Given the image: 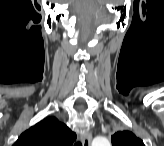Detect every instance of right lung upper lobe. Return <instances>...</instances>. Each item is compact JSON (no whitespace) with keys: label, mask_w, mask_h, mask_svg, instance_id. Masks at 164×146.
<instances>
[{"label":"right lung upper lobe","mask_w":164,"mask_h":146,"mask_svg":"<svg viewBox=\"0 0 164 146\" xmlns=\"http://www.w3.org/2000/svg\"><path fill=\"white\" fill-rule=\"evenodd\" d=\"M75 138L65 124L49 117L22 133L14 146H71Z\"/></svg>","instance_id":"right-lung-upper-lobe-1"}]
</instances>
